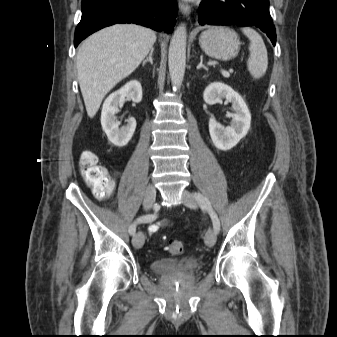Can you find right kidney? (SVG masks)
Listing matches in <instances>:
<instances>
[{"label": "right kidney", "instance_id": "obj_1", "mask_svg": "<svg viewBox=\"0 0 337 337\" xmlns=\"http://www.w3.org/2000/svg\"><path fill=\"white\" fill-rule=\"evenodd\" d=\"M126 97L136 103L142 100V87L138 81H130L110 94L103 104L101 113L102 129L109 141L117 147L127 145L136 129V120L134 118H129L126 126L121 128H119V123L116 121L115 114L119 111V107L123 106Z\"/></svg>", "mask_w": 337, "mask_h": 337}]
</instances>
